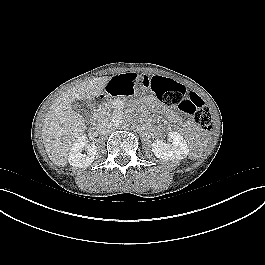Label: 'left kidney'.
I'll list each match as a JSON object with an SVG mask.
<instances>
[{
	"label": "left kidney",
	"mask_w": 265,
	"mask_h": 265,
	"mask_svg": "<svg viewBox=\"0 0 265 265\" xmlns=\"http://www.w3.org/2000/svg\"><path fill=\"white\" fill-rule=\"evenodd\" d=\"M171 140L170 143L163 142V140L156 139L152 143V151L154 155L163 160H182L189 154L187 143L183 136L175 131L168 133Z\"/></svg>",
	"instance_id": "1"
}]
</instances>
